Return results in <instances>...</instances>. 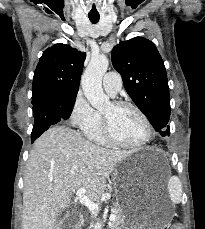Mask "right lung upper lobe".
<instances>
[{
    "label": "right lung upper lobe",
    "mask_w": 205,
    "mask_h": 229,
    "mask_svg": "<svg viewBox=\"0 0 205 229\" xmlns=\"http://www.w3.org/2000/svg\"><path fill=\"white\" fill-rule=\"evenodd\" d=\"M86 53L66 44L46 49L33 77L32 101L78 92Z\"/></svg>",
    "instance_id": "1"
}]
</instances>
